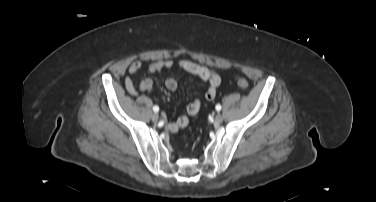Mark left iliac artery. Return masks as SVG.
<instances>
[{"instance_id":"1","label":"left iliac artery","mask_w":376,"mask_h":202,"mask_svg":"<svg viewBox=\"0 0 376 202\" xmlns=\"http://www.w3.org/2000/svg\"><path fill=\"white\" fill-rule=\"evenodd\" d=\"M215 108H216L217 111H220L221 110V105L217 104Z\"/></svg>"}]
</instances>
